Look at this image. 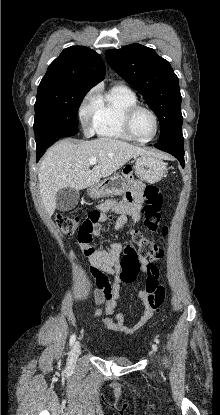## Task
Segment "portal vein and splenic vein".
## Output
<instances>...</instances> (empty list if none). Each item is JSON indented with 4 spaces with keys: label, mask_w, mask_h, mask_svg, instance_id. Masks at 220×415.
I'll return each mask as SVG.
<instances>
[{
    "label": "portal vein and splenic vein",
    "mask_w": 220,
    "mask_h": 415,
    "mask_svg": "<svg viewBox=\"0 0 220 415\" xmlns=\"http://www.w3.org/2000/svg\"><path fill=\"white\" fill-rule=\"evenodd\" d=\"M97 162H98V161H97V159H96V158H90V159H89V164H90V165H95V164H97Z\"/></svg>",
    "instance_id": "18ae733b"
}]
</instances>
